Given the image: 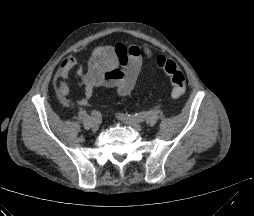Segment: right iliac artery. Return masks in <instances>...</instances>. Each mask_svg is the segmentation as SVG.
<instances>
[{
  "label": "right iliac artery",
  "instance_id": "obj_1",
  "mask_svg": "<svg viewBox=\"0 0 254 216\" xmlns=\"http://www.w3.org/2000/svg\"><path fill=\"white\" fill-rule=\"evenodd\" d=\"M91 118H92L93 120L100 121V120L102 119V115H101V113H100L99 111L93 110V111L91 112Z\"/></svg>",
  "mask_w": 254,
  "mask_h": 216
}]
</instances>
